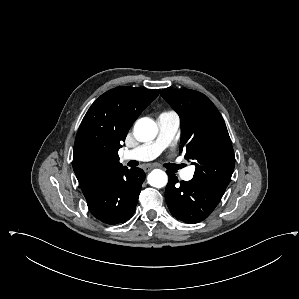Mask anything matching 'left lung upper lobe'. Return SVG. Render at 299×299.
Masks as SVG:
<instances>
[{
	"instance_id": "1",
	"label": "left lung upper lobe",
	"mask_w": 299,
	"mask_h": 299,
	"mask_svg": "<svg viewBox=\"0 0 299 299\" xmlns=\"http://www.w3.org/2000/svg\"><path fill=\"white\" fill-rule=\"evenodd\" d=\"M162 97L178 113L185 158L196 166L194 179L225 192L235 166V156L225 122L204 94L190 89H165Z\"/></svg>"
}]
</instances>
